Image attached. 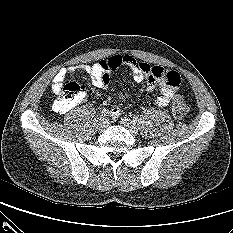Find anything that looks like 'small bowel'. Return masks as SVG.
Masks as SVG:
<instances>
[{
	"label": "small bowel",
	"instance_id": "1",
	"mask_svg": "<svg viewBox=\"0 0 233 233\" xmlns=\"http://www.w3.org/2000/svg\"><path fill=\"white\" fill-rule=\"evenodd\" d=\"M120 66H127L133 74L136 82L146 81L149 92L159 88L160 94L154 101L158 107H165L178 90L180 76L176 71L166 70L160 66H151L139 62L130 55H113L101 59L93 65H81L79 67H68L60 69L53 78L52 91L60 93L64 81L68 76H73L76 69L87 73L91 83L97 88H107L110 83L111 73ZM118 103L113 104L111 113L118 117L130 105V98L126 93L118 94Z\"/></svg>",
	"mask_w": 233,
	"mask_h": 233
}]
</instances>
